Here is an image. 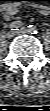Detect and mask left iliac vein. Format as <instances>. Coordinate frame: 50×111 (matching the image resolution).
I'll return each mask as SVG.
<instances>
[{"label": "left iliac vein", "instance_id": "obj_1", "mask_svg": "<svg viewBox=\"0 0 50 111\" xmlns=\"http://www.w3.org/2000/svg\"><path fill=\"white\" fill-rule=\"evenodd\" d=\"M29 31L26 28H21L20 30H18L16 33L17 34H27Z\"/></svg>", "mask_w": 50, "mask_h": 111}]
</instances>
